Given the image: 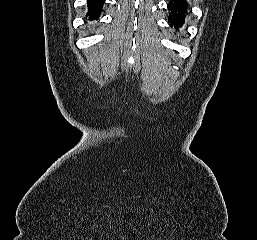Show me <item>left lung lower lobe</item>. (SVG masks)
Returning a JSON list of instances; mask_svg holds the SVG:
<instances>
[{
	"label": "left lung lower lobe",
	"instance_id": "0a47b994",
	"mask_svg": "<svg viewBox=\"0 0 257 240\" xmlns=\"http://www.w3.org/2000/svg\"><path fill=\"white\" fill-rule=\"evenodd\" d=\"M167 7L169 10L168 22L171 27L178 29V27H181L184 23L188 4L186 0H170Z\"/></svg>",
	"mask_w": 257,
	"mask_h": 240
}]
</instances>
